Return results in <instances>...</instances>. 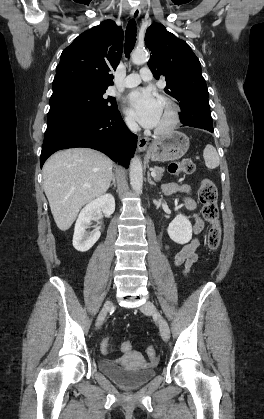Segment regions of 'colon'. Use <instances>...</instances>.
Listing matches in <instances>:
<instances>
[{"label":"colon","mask_w":264,"mask_h":419,"mask_svg":"<svg viewBox=\"0 0 264 419\" xmlns=\"http://www.w3.org/2000/svg\"><path fill=\"white\" fill-rule=\"evenodd\" d=\"M195 170V164L190 159L172 162L168 166V171L172 175L191 174ZM198 199L202 205L201 213L210 227L207 235V245L210 250L215 251L221 241V226L219 222V210L217 206V188L209 179H203L198 189ZM125 349L131 348L130 342L122 344ZM101 349L103 351L112 350V343L109 338L102 341ZM148 357L153 360L156 358V349L152 346L146 349Z\"/></svg>","instance_id":"colon-1"}]
</instances>
